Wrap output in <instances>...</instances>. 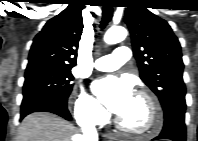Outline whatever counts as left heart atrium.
<instances>
[{"label":"left heart atrium","mask_w":198,"mask_h":141,"mask_svg":"<svg viewBox=\"0 0 198 141\" xmlns=\"http://www.w3.org/2000/svg\"><path fill=\"white\" fill-rule=\"evenodd\" d=\"M92 89L106 108L117 115L122 114L134 99L132 84L116 76L96 80Z\"/></svg>","instance_id":"obj_1"}]
</instances>
